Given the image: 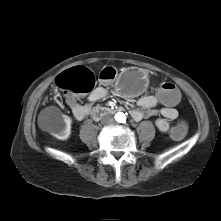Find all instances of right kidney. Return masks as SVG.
Here are the masks:
<instances>
[{
    "label": "right kidney",
    "mask_w": 221,
    "mask_h": 221,
    "mask_svg": "<svg viewBox=\"0 0 221 221\" xmlns=\"http://www.w3.org/2000/svg\"><path fill=\"white\" fill-rule=\"evenodd\" d=\"M71 124L72 119L62 115L50 126V134L58 140H67L71 134Z\"/></svg>",
    "instance_id": "obj_1"
}]
</instances>
